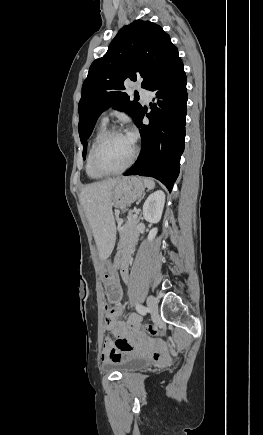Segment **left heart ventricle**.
Wrapping results in <instances>:
<instances>
[{
  "instance_id": "b2bd125f",
  "label": "left heart ventricle",
  "mask_w": 263,
  "mask_h": 435,
  "mask_svg": "<svg viewBox=\"0 0 263 435\" xmlns=\"http://www.w3.org/2000/svg\"><path fill=\"white\" fill-rule=\"evenodd\" d=\"M133 147L126 135L112 136L100 148L98 163L108 170L118 169L129 160Z\"/></svg>"
}]
</instances>
